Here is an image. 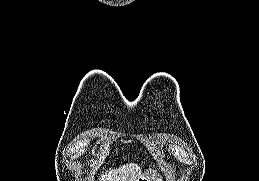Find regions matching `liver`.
I'll return each instance as SVG.
<instances>
[{"label": "liver", "mask_w": 259, "mask_h": 181, "mask_svg": "<svg viewBox=\"0 0 259 181\" xmlns=\"http://www.w3.org/2000/svg\"><path fill=\"white\" fill-rule=\"evenodd\" d=\"M141 175V167L130 163L119 167L118 169H109L102 174L100 181H135Z\"/></svg>", "instance_id": "liver-1"}]
</instances>
